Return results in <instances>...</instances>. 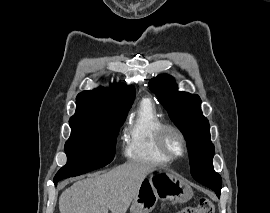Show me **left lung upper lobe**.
<instances>
[{
	"mask_svg": "<svg viewBox=\"0 0 270 213\" xmlns=\"http://www.w3.org/2000/svg\"><path fill=\"white\" fill-rule=\"evenodd\" d=\"M153 91L177 128L185 134L189 150L190 171L199 183L221 193L222 179L214 171V145L210 140L209 123L202 115L201 100L196 94L179 92L173 78L159 75L150 82Z\"/></svg>",
	"mask_w": 270,
	"mask_h": 213,
	"instance_id": "5c2ea615",
	"label": "left lung upper lobe"
}]
</instances>
